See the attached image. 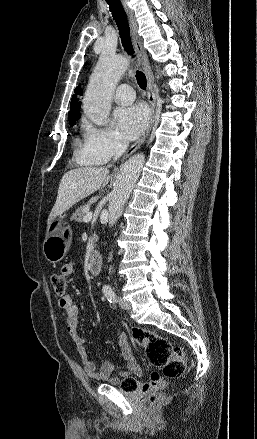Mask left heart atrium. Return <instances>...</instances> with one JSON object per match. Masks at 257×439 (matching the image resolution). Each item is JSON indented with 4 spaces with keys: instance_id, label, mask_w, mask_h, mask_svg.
<instances>
[{
    "instance_id": "obj_1",
    "label": "left heart atrium",
    "mask_w": 257,
    "mask_h": 439,
    "mask_svg": "<svg viewBox=\"0 0 257 439\" xmlns=\"http://www.w3.org/2000/svg\"><path fill=\"white\" fill-rule=\"evenodd\" d=\"M115 120L126 138L138 136L148 123V109L143 104L118 108L115 111Z\"/></svg>"
}]
</instances>
